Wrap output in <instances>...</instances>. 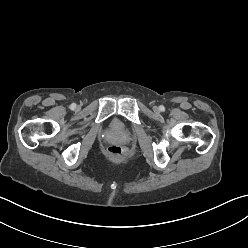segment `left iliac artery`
I'll return each instance as SVG.
<instances>
[{
    "label": "left iliac artery",
    "mask_w": 248,
    "mask_h": 248,
    "mask_svg": "<svg viewBox=\"0 0 248 248\" xmlns=\"http://www.w3.org/2000/svg\"><path fill=\"white\" fill-rule=\"evenodd\" d=\"M160 110H161V111H164V110H165V107L161 105V106H160Z\"/></svg>",
    "instance_id": "44dca946"
}]
</instances>
